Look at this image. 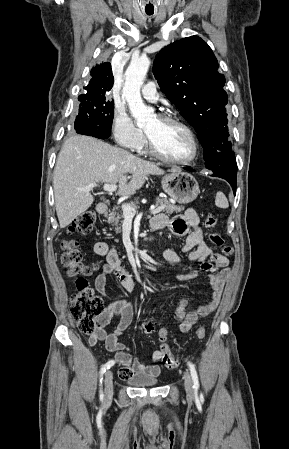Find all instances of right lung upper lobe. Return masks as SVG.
<instances>
[{"mask_svg":"<svg viewBox=\"0 0 289 449\" xmlns=\"http://www.w3.org/2000/svg\"><path fill=\"white\" fill-rule=\"evenodd\" d=\"M92 79L89 84L85 87L87 93L85 95H94L98 93H106L111 90L114 80L111 70V64L105 62L103 64L97 65L93 68L91 72Z\"/></svg>","mask_w":289,"mask_h":449,"instance_id":"right-lung-upper-lobe-1","label":"right lung upper lobe"}]
</instances>
